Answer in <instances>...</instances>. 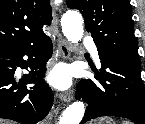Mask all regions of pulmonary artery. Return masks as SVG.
<instances>
[{
	"instance_id": "1",
	"label": "pulmonary artery",
	"mask_w": 145,
	"mask_h": 124,
	"mask_svg": "<svg viewBox=\"0 0 145 124\" xmlns=\"http://www.w3.org/2000/svg\"><path fill=\"white\" fill-rule=\"evenodd\" d=\"M84 45L89 49V51L91 52L92 56L94 57V59L99 63V54L97 51V48L94 44L90 43L89 40H85L84 41Z\"/></svg>"
}]
</instances>
